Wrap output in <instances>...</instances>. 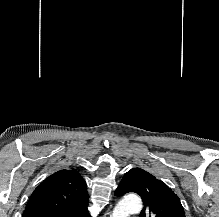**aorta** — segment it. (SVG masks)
<instances>
[{"instance_id": "762f6f07", "label": "aorta", "mask_w": 219, "mask_h": 217, "mask_svg": "<svg viewBox=\"0 0 219 217\" xmlns=\"http://www.w3.org/2000/svg\"><path fill=\"white\" fill-rule=\"evenodd\" d=\"M141 209V199L136 195H130L119 201L111 217H129L130 214L139 212Z\"/></svg>"}]
</instances>
